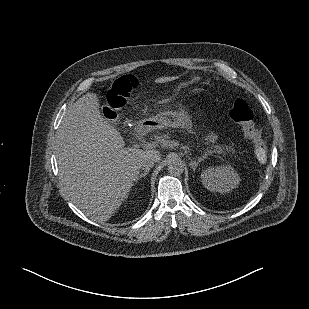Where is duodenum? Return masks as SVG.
Masks as SVG:
<instances>
[{"mask_svg":"<svg viewBox=\"0 0 309 309\" xmlns=\"http://www.w3.org/2000/svg\"><path fill=\"white\" fill-rule=\"evenodd\" d=\"M151 126L148 123H141L137 126L136 131L140 135H146L150 132Z\"/></svg>","mask_w":309,"mask_h":309,"instance_id":"410a0bca","label":"duodenum"}]
</instances>
